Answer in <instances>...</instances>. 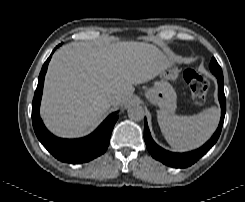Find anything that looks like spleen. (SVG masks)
Segmentation results:
<instances>
[{
  "mask_svg": "<svg viewBox=\"0 0 245 202\" xmlns=\"http://www.w3.org/2000/svg\"><path fill=\"white\" fill-rule=\"evenodd\" d=\"M220 110L211 107L191 116L157 112V120L167 142L179 152L192 150L206 142L217 128Z\"/></svg>",
  "mask_w": 245,
  "mask_h": 202,
  "instance_id": "1",
  "label": "spleen"
}]
</instances>
